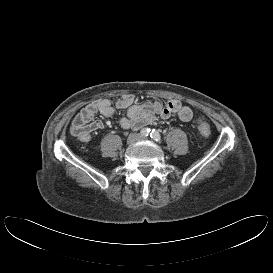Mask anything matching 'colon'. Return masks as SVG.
<instances>
[{
    "mask_svg": "<svg viewBox=\"0 0 273 273\" xmlns=\"http://www.w3.org/2000/svg\"><path fill=\"white\" fill-rule=\"evenodd\" d=\"M198 130L203 136H209L211 134L210 124L204 119L198 120Z\"/></svg>",
    "mask_w": 273,
    "mask_h": 273,
    "instance_id": "obj_1",
    "label": "colon"
}]
</instances>
